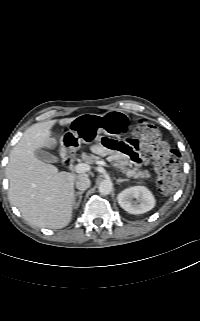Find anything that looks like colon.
Segmentation results:
<instances>
[{
  "instance_id": "1",
  "label": "colon",
  "mask_w": 200,
  "mask_h": 321,
  "mask_svg": "<svg viewBox=\"0 0 200 321\" xmlns=\"http://www.w3.org/2000/svg\"><path fill=\"white\" fill-rule=\"evenodd\" d=\"M134 137L140 138L147 154L153 158L159 189L166 194L175 191L181 182V157L178 151L163 140L155 126L145 122L136 126Z\"/></svg>"
}]
</instances>
